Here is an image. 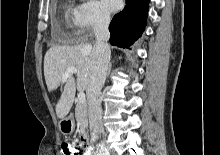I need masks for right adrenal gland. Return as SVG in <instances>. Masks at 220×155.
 <instances>
[{"instance_id": "obj_1", "label": "right adrenal gland", "mask_w": 220, "mask_h": 155, "mask_svg": "<svg viewBox=\"0 0 220 155\" xmlns=\"http://www.w3.org/2000/svg\"><path fill=\"white\" fill-rule=\"evenodd\" d=\"M111 66H112V63L110 62V63H109V67H108V74H109L110 71H111Z\"/></svg>"}]
</instances>
